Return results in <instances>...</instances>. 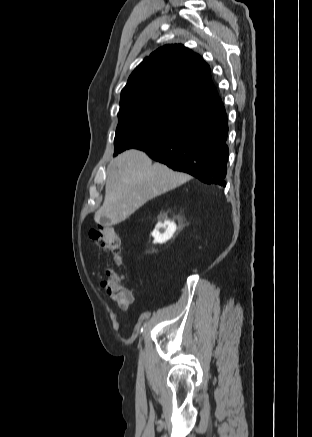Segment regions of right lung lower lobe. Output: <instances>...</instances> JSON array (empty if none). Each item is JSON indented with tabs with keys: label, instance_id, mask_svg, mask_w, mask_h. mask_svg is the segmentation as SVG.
I'll list each match as a JSON object with an SVG mask.
<instances>
[{
	"label": "right lung lower lobe",
	"instance_id": "obj_1",
	"mask_svg": "<svg viewBox=\"0 0 312 437\" xmlns=\"http://www.w3.org/2000/svg\"><path fill=\"white\" fill-rule=\"evenodd\" d=\"M227 116L222 101L200 110L174 134L137 149L173 170L189 173L207 184L225 187L228 160Z\"/></svg>",
	"mask_w": 312,
	"mask_h": 437
}]
</instances>
